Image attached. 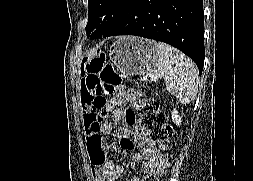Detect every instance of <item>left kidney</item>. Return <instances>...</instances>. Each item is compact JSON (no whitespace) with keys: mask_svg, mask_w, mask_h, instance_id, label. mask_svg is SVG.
Returning <instances> with one entry per match:
<instances>
[{"mask_svg":"<svg viewBox=\"0 0 253 181\" xmlns=\"http://www.w3.org/2000/svg\"><path fill=\"white\" fill-rule=\"evenodd\" d=\"M172 120L173 122L177 125V126H180L181 124V116L178 114V111L175 109H173V112H172Z\"/></svg>","mask_w":253,"mask_h":181,"instance_id":"1","label":"left kidney"}]
</instances>
